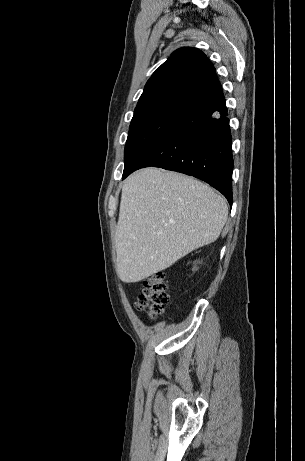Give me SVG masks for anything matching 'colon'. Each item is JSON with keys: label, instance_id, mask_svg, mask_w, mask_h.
<instances>
[{"label": "colon", "instance_id": "5ec220e1", "mask_svg": "<svg viewBox=\"0 0 305 461\" xmlns=\"http://www.w3.org/2000/svg\"><path fill=\"white\" fill-rule=\"evenodd\" d=\"M169 303L168 285L164 273H155L143 280L136 308L148 310L151 316L162 314Z\"/></svg>", "mask_w": 305, "mask_h": 461}]
</instances>
